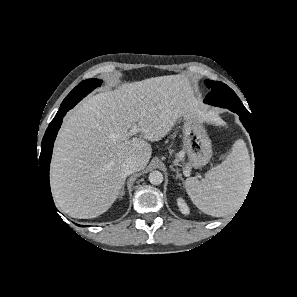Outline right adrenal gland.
<instances>
[{
    "instance_id": "obj_1",
    "label": "right adrenal gland",
    "mask_w": 297,
    "mask_h": 297,
    "mask_svg": "<svg viewBox=\"0 0 297 297\" xmlns=\"http://www.w3.org/2000/svg\"><path fill=\"white\" fill-rule=\"evenodd\" d=\"M124 186H125V185L123 184L122 189H121V191H120V194H119V196H118L120 199H122L123 196L125 195Z\"/></svg>"
}]
</instances>
